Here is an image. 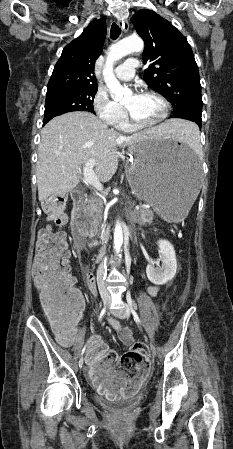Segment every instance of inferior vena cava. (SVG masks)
<instances>
[{"instance_id":"602c4592","label":"inferior vena cava","mask_w":233,"mask_h":449,"mask_svg":"<svg viewBox=\"0 0 233 449\" xmlns=\"http://www.w3.org/2000/svg\"><path fill=\"white\" fill-rule=\"evenodd\" d=\"M104 275H105V270L102 265H99L98 270H97V279L99 280V279L103 278Z\"/></svg>"}]
</instances>
